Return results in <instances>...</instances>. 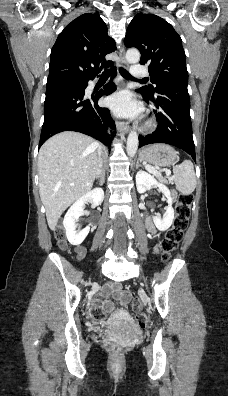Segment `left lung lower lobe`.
Here are the masks:
<instances>
[{
	"label": "left lung lower lobe",
	"mask_w": 228,
	"mask_h": 396,
	"mask_svg": "<svg viewBox=\"0 0 228 396\" xmlns=\"http://www.w3.org/2000/svg\"><path fill=\"white\" fill-rule=\"evenodd\" d=\"M136 91L142 93L139 89ZM142 95L146 100L152 101L158 127L152 134L139 136V146L151 143L170 144L187 152L195 161L187 86L167 85L160 88L154 96L145 93Z\"/></svg>",
	"instance_id": "obj_1"
}]
</instances>
